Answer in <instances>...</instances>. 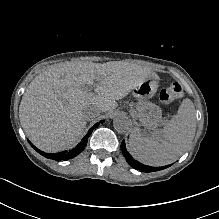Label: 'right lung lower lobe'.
Listing matches in <instances>:
<instances>
[{
  "label": "right lung lower lobe",
  "instance_id": "obj_1",
  "mask_svg": "<svg viewBox=\"0 0 219 219\" xmlns=\"http://www.w3.org/2000/svg\"><path fill=\"white\" fill-rule=\"evenodd\" d=\"M102 122L103 121H101V123ZM98 125H99V123L95 124L92 128H90L88 131V134L83 138L82 142L79 143L73 150H70V151L48 154V153H44L43 151L38 150L30 141H29V143L37 152H39L41 155L45 156L46 158L54 159L57 161L68 160L70 158L75 157L76 155H78L80 152H82L84 150V148L86 147V144H87L88 137L92 133V130L94 128H96Z\"/></svg>",
  "mask_w": 219,
  "mask_h": 219
}]
</instances>
